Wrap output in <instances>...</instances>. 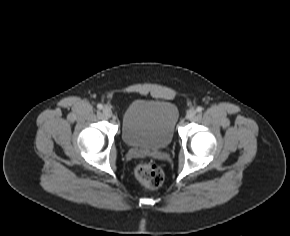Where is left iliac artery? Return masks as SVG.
<instances>
[{"mask_svg":"<svg viewBox=\"0 0 290 236\" xmlns=\"http://www.w3.org/2000/svg\"><path fill=\"white\" fill-rule=\"evenodd\" d=\"M196 110H197V112H199V113H200V112H202V111H203V108H202L201 106H199V107H197V109H196Z\"/></svg>","mask_w":290,"mask_h":236,"instance_id":"obj_1","label":"left iliac artery"}]
</instances>
